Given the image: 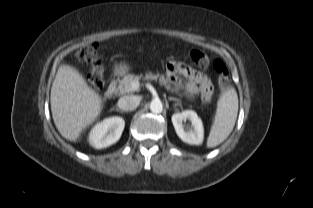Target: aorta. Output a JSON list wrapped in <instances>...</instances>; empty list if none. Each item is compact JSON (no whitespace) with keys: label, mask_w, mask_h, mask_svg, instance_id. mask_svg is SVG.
Wrapping results in <instances>:
<instances>
[{"label":"aorta","mask_w":313,"mask_h":208,"mask_svg":"<svg viewBox=\"0 0 313 208\" xmlns=\"http://www.w3.org/2000/svg\"><path fill=\"white\" fill-rule=\"evenodd\" d=\"M150 110L152 113L159 114L163 111L162 102L159 99H154L150 103Z\"/></svg>","instance_id":"aorta-1"}]
</instances>
